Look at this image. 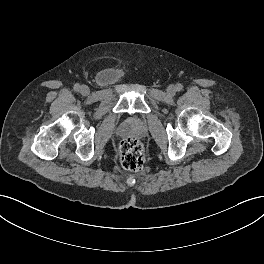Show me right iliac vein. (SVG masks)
Returning a JSON list of instances; mask_svg holds the SVG:
<instances>
[{"mask_svg":"<svg viewBox=\"0 0 264 264\" xmlns=\"http://www.w3.org/2000/svg\"><path fill=\"white\" fill-rule=\"evenodd\" d=\"M80 92H81V94H83V95H87V94H89V88H88V86L83 85V86L80 88Z\"/></svg>","mask_w":264,"mask_h":264,"instance_id":"obj_1","label":"right iliac vein"}]
</instances>
